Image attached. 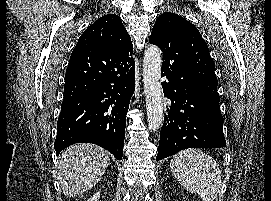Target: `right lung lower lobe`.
Wrapping results in <instances>:
<instances>
[{
  "mask_svg": "<svg viewBox=\"0 0 271 201\" xmlns=\"http://www.w3.org/2000/svg\"><path fill=\"white\" fill-rule=\"evenodd\" d=\"M135 63L97 48H75L65 74L54 144L57 155L75 143H93L123 156L126 114L135 90Z\"/></svg>",
  "mask_w": 271,
  "mask_h": 201,
  "instance_id": "98d812e1",
  "label": "right lung lower lobe"
}]
</instances>
